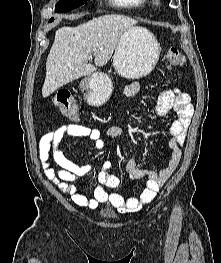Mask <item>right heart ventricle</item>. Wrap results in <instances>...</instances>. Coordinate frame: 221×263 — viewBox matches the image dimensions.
I'll use <instances>...</instances> for the list:
<instances>
[{
    "label": "right heart ventricle",
    "mask_w": 221,
    "mask_h": 263,
    "mask_svg": "<svg viewBox=\"0 0 221 263\" xmlns=\"http://www.w3.org/2000/svg\"><path fill=\"white\" fill-rule=\"evenodd\" d=\"M110 2L121 8L140 9L147 5V0H110Z\"/></svg>",
    "instance_id": "obj_1"
}]
</instances>
